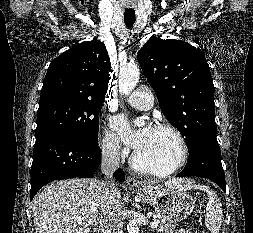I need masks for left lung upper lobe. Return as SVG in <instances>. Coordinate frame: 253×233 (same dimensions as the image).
Here are the masks:
<instances>
[{
    "mask_svg": "<svg viewBox=\"0 0 253 233\" xmlns=\"http://www.w3.org/2000/svg\"><path fill=\"white\" fill-rule=\"evenodd\" d=\"M167 120L188 150L200 141L217 143L214 85L204 55L181 40L150 38L137 54Z\"/></svg>",
    "mask_w": 253,
    "mask_h": 233,
    "instance_id": "obj_1",
    "label": "left lung upper lobe"
}]
</instances>
